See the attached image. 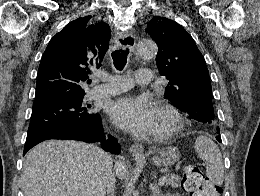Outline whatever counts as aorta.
Listing matches in <instances>:
<instances>
[{
	"label": "aorta",
	"mask_w": 260,
	"mask_h": 196,
	"mask_svg": "<svg viewBox=\"0 0 260 196\" xmlns=\"http://www.w3.org/2000/svg\"><path fill=\"white\" fill-rule=\"evenodd\" d=\"M137 51L144 58H153L157 55L158 47L155 42L146 40L138 44Z\"/></svg>",
	"instance_id": "aorta-1"
}]
</instances>
